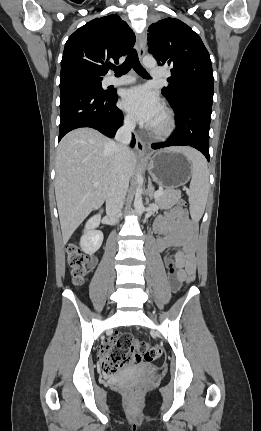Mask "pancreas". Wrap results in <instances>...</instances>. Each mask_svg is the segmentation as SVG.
<instances>
[{"label":"pancreas","mask_w":261,"mask_h":431,"mask_svg":"<svg viewBox=\"0 0 261 431\" xmlns=\"http://www.w3.org/2000/svg\"><path fill=\"white\" fill-rule=\"evenodd\" d=\"M181 193L177 190L168 189L163 191V194L155 199V204L161 209H169L179 202Z\"/></svg>","instance_id":"1"}]
</instances>
